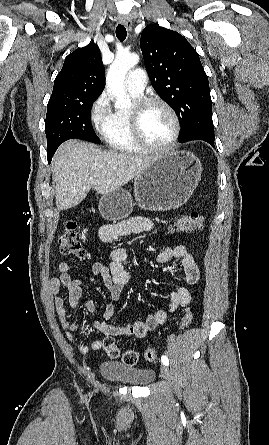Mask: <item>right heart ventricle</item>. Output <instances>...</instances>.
Returning <instances> with one entry per match:
<instances>
[{
  "instance_id": "right-heart-ventricle-1",
  "label": "right heart ventricle",
  "mask_w": 269,
  "mask_h": 445,
  "mask_svg": "<svg viewBox=\"0 0 269 445\" xmlns=\"http://www.w3.org/2000/svg\"><path fill=\"white\" fill-rule=\"evenodd\" d=\"M101 133L106 143L114 150L124 153H141L143 151L134 140L130 125V111L128 110H116L111 113L109 119L101 127Z\"/></svg>"
}]
</instances>
